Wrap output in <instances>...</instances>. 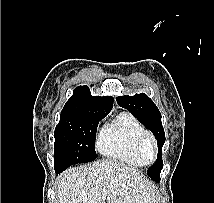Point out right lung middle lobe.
Instances as JSON below:
<instances>
[{"label": "right lung middle lobe", "mask_w": 214, "mask_h": 203, "mask_svg": "<svg viewBox=\"0 0 214 203\" xmlns=\"http://www.w3.org/2000/svg\"><path fill=\"white\" fill-rule=\"evenodd\" d=\"M106 114L85 108H63L55 128L54 168L62 172L70 165L96 159L95 132Z\"/></svg>", "instance_id": "1"}]
</instances>
